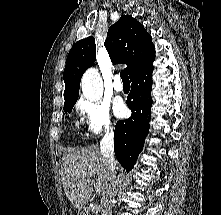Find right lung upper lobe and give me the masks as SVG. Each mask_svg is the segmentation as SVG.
Returning <instances> with one entry per match:
<instances>
[{"instance_id": "right-lung-upper-lobe-1", "label": "right lung upper lobe", "mask_w": 221, "mask_h": 215, "mask_svg": "<svg viewBox=\"0 0 221 215\" xmlns=\"http://www.w3.org/2000/svg\"><path fill=\"white\" fill-rule=\"evenodd\" d=\"M104 45L113 64L127 65L126 70L130 77L155 58L150 34L142 24L129 15L121 16L109 28ZM95 60L96 46L93 37L79 40L73 45L63 73L65 102L77 101L82 75Z\"/></svg>"}]
</instances>
